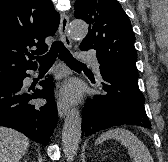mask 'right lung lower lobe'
Returning a JSON list of instances; mask_svg holds the SVG:
<instances>
[{
	"label": "right lung lower lobe",
	"instance_id": "1",
	"mask_svg": "<svg viewBox=\"0 0 168 162\" xmlns=\"http://www.w3.org/2000/svg\"><path fill=\"white\" fill-rule=\"evenodd\" d=\"M27 76L24 70L0 81V126L16 129L33 141L47 145L57 122L53 84L45 79L39 83L43 89L25 91L23 80ZM36 98H45L47 103L35 105L31 100Z\"/></svg>",
	"mask_w": 168,
	"mask_h": 162
}]
</instances>
